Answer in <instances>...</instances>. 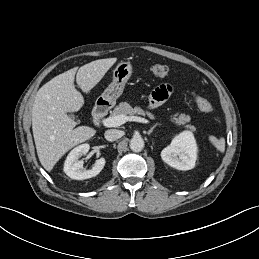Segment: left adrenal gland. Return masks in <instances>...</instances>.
<instances>
[{
  "label": "left adrenal gland",
  "mask_w": 259,
  "mask_h": 259,
  "mask_svg": "<svg viewBox=\"0 0 259 259\" xmlns=\"http://www.w3.org/2000/svg\"><path fill=\"white\" fill-rule=\"evenodd\" d=\"M156 126H157V125H153V126L151 127V129L147 132V134L150 135V134L153 132V130H154V128H155Z\"/></svg>",
  "instance_id": "obj_1"
}]
</instances>
